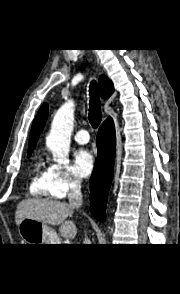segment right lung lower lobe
Returning a JSON list of instances; mask_svg holds the SVG:
<instances>
[{
    "mask_svg": "<svg viewBox=\"0 0 180 294\" xmlns=\"http://www.w3.org/2000/svg\"><path fill=\"white\" fill-rule=\"evenodd\" d=\"M115 128L112 118L100 126L97 135L98 156L90 179V211L101 222L105 221V206L112 182L115 155Z\"/></svg>",
    "mask_w": 180,
    "mask_h": 294,
    "instance_id": "right-lung-lower-lobe-1",
    "label": "right lung lower lobe"
}]
</instances>
